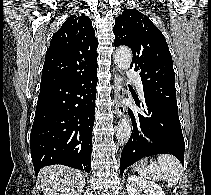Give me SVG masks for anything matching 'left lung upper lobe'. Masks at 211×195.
<instances>
[{"instance_id":"5c2ea615","label":"left lung upper lobe","mask_w":211,"mask_h":195,"mask_svg":"<svg viewBox=\"0 0 211 195\" xmlns=\"http://www.w3.org/2000/svg\"><path fill=\"white\" fill-rule=\"evenodd\" d=\"M113 32L115 47L131 48L130 67L139 72L144 94L177 108L172 57L159 29L138 10H125L115 19Z\"/></svg>"}]
</instances>
